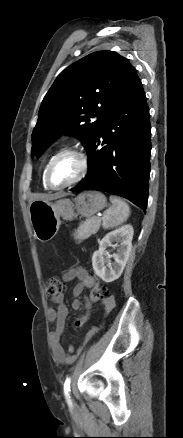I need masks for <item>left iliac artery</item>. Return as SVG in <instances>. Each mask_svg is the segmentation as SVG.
<instances>
[{"label": "left iliac artery", "mask_w": 183, "mask_h": 438, "mask_svg": "<svg viewBox=\"0 0 183 438\" xmlns=\"http://www.w3.org/2000/svg\"><path fill=\"white\" fill-rule=\"evenodd\" d=\"M70 382H71V379H70V378H67V379L65 380V383H64V394H65L66 399L68 400L69 403H70V400H69V398H70V396H69V392H70Z\"/></svg>", "instance_id": "left-iliac-artery-1"}]
</instances>
